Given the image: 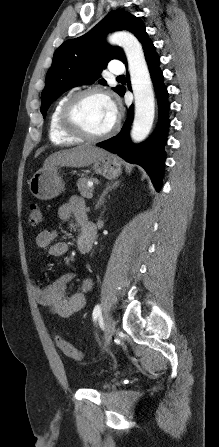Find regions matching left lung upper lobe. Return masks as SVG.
Listing matches in <instances>:
<instances>
[{"label": "left lung upper lobe", "instance_id": "obj_1", "mask_svg": "<svg viewBox=\"0 0 219 447\" xmlns=\"http://www.w3.org/2000/svg\"><path fill=\"white\" fill-rule=\"evenodd\" d=\"M118 30L133 33L140 42L147 36L142 20L127 11L114 10L88 33L66 41L55 51L41 94L43 117H46L52 102L64 92L98 80L110 60L118 59L126 63L120 47L108 46L104 42L107 33ZM99 83L106 85L104 79ZM112 89L121 95L124 87L119 85Z\"/></svg>", "mask_w": 219, "mask_h": 447}]
</instances>
